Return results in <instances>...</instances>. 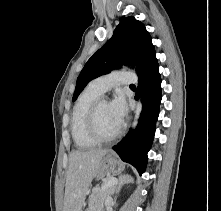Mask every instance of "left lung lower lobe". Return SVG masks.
I'll use <instances>...</instances> for the list:
<instances>
[{
    "mask_svg": "<svg viewBox=\"0 0 221 211\" xmlns=\"http://www.w3.org/2000/svg\"><path fill=\"white\" fill-rule=\"evenodd\" d=\"M139 75L138 94L142 96V112L137 128L131 131L113 150L124 162L132 164L140 174L147 165V153L150 150L155 134V124L161 103V78L156 54L144 66Z\"/></svg>",
    "mask_w": 221,
    "mask_h": 211,
    "instance_id": "1",
    "label": "left lung lower lobe"
}]
</instances>
